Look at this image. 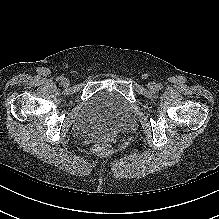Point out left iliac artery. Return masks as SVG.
<instances>
[{
  "label": "left iliac artery",
  "mask_w": 219,
  "mask_h": 219,
  "mask_svg": "<svg viewBox=\"0 0 219 219\" xmlns=\"http://www.w3.org/2000/svg\"><path fill=\"white\" fill-rule=\"evenodd\" d=\"M163 88L162 84H157V89L161 90Z\"/></svg>",
  "instance_id": "left-iliac-artery-1"
}]
</instances>
